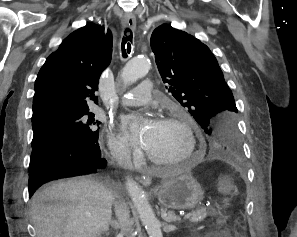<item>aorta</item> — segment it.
<instances>
[{"label": "aorta", "instance_id": "762f6f07", "mask_svg": "<svg viewBox=\"0 0 297 237\" xmlns=\"http://www.w3.org/2000/svg\"><path fill=\"white\" fill-rule=\"evenodd\" d=\"M149 69L150 61L148 58L135 57L126 63L120 77L125 85H131L144 77ZM126 188L149 237H163L160 222L156 218L142 187L133 179L128 178Z\"/></svg>", "mask_w": 297, "mask_h": 237}]
</instances>
